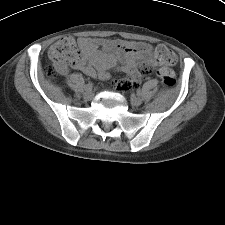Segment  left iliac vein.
Wrapping results in <instances>:
<instances>
[{"label":"left iliac vein","instance_id":"1","mask_svg":"<svg viewBox=\"0 0 225 225\" xmlns=\"http://www.w3.org/2000/svg\"><path fill=\"white\" fill-rule=\"evenodd\" d=\"M131 104H132L133 106H138V105L141 104V99H140L139 97H133V98L131 99Z\"/></svg>","mask_w":225,"mask_h":225}]
</instances>
